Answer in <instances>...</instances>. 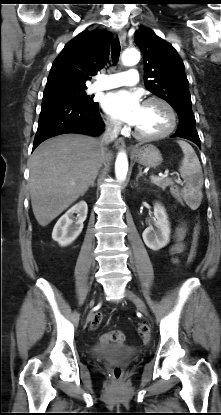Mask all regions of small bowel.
<instances>
[{
	"instance_id": "c3829d8e",
	"label": "small bowel",
	"mask_w": 221,
	"mask_h": 415,
	"mask_svg": "<svg viewBox=\"0 0 221 415\" xmlns=\"http://www.w3.org/2000/svg\"><path fill=\"white\" fill-rule=\"evenodd\" d=\"M185 233H186V224L181 223L175 230L174 242L169 247L170 254L172 255L179 254L186 249V245L183 241Z\"/></svg>"
}]
</instances>
